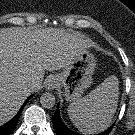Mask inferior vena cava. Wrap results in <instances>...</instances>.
<instances>
[{
    "instance_id": "602c4592",
    "label": "inferior vena cava",
    "mask_w": 135,
    "mask_h": 135,
    "mask_svg": "<svg viewBox=\"0 0 135 135\" xmlns=\"http://www.w3.org/2000/svg\"><path fill=\"white\" fill-rule=\"evenodd\" d=\"M35 87V84L33 83V82H29L28 84H27V88L28 89H32V88H34Z\"/></svg>"
}]
</instances>
